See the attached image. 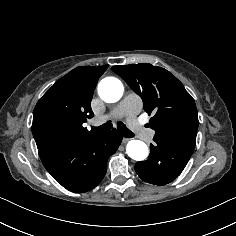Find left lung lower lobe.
Wrapping results in <instances>:
<instances>
[{
  "mask_svg": "<svg viewBox=\"0 0 236 236\" xmlns=\"http://www.w3.org/2000/svg\"><path fill=\"white\" fill-rule=\"evenodd\" d=\"M154 141V144H150L149 158L137 162L135 171L142 180L150 184L165 185L181 174L193 151L163 140Z\"/></svg>",
  "mask_w": 236,
  "mask_h": 236,
  "instance_id": "1",
  "label": "left lung lower lobe"
}]
</instances>
